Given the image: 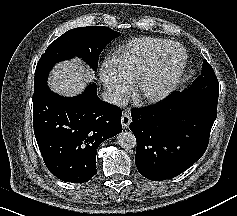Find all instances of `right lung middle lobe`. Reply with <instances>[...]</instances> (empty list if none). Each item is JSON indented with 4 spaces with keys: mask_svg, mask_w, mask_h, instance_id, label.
<instances>
[{
    "mask_svg": "<svg viewBox=\"0 0 237 216\" xmlns=\"http://www.w3.org/2000/svg\"><path fill=\"white\" fill-rule=\"evenodd\" d=\"M119 35V32L104 26L80 27L65 32L48 46L38 61L35 70L34 92L47 84L48 73L56 63L62 60L76 56L96 71L103 48Z\"/></svg>",
    "mask_w": 237,
    "mask_h": 216,
    "instance_id": "obj_1",
    "label": "right lung middle lobe"
}]
</instances>
